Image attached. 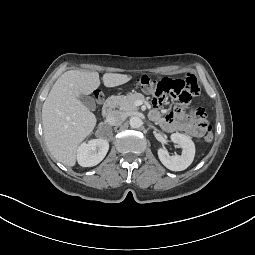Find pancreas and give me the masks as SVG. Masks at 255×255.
Returning a JSON list of instances; mask_svg holds the SVG:
<instances>
[{
    "instance_id": "obj_1",
    "label": "pancreas",
    "mask_w": 255,
    "mask_h": 255,
    "mask_svg": "<svg viewBox=\"0 0 255 255\" xmlns=\"http://www.w3.org/2000/svg\"><path fill=\"white\" fill-rule=\"evenodd\" d=\"M137 100L145 101L144 95L140 93H130L126 96L121 95L112 97L113 105L124 112H132L137 110V107L135 105V102Z\"/></svg>"
}]
</instances>
